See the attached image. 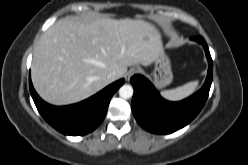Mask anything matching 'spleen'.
<instances>
[{
  "label": "spleen",
  "instance_id": "obj_1",
  "mask_svg": "<svg viewBox=\"0 0 248 165\" xmlns=\"http://www.w3.org/2000/svg\"><path fill=\"white\" fill-rule=\"evenodd\" d=\"M198 86V81H192L171 90H165L161 92V95L170 101L182 100L194 93Z\"/></svg>",
  "mask_w": 248,
  "mask_h": 165
}]
</instances>
